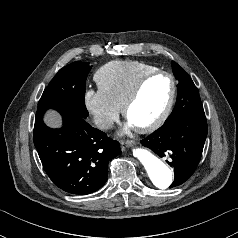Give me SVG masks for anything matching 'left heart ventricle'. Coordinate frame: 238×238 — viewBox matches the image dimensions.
Listing matches in <instances>:
<instances>
[{"instance_id": "b2bd125f", "label": "left heart ventricle", "mask_w": 238, "mask_h": 238, "mask_svg": "<svg viewBox=\"0 0 238 238\" xmlns=\"http://www.w3.org/2000/svg\"><path fill=\"white\" fill-rule=\"evenodd\" d=\"M171 91L170 81L157 76L144 86L137 101L128 112V121L134 127L146 126L153 122L165 108Z\"/></svg>"}]
</instances>
